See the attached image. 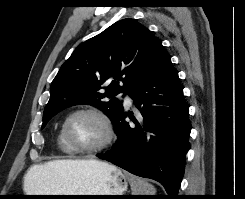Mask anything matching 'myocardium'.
<instances>
[{
  "label": "myocardium",
  "instance_id": "f54148a6",
  "mask_svg": "<svg viewBox=\"0 0 245 199\" xmlns=\"http://www.w3.org/2000/svg\"><path fill=\"white\" fill-rule=\"evenodd\" d=\"M80 114H90L95 116L103 125L105 129V138L104 140L97 146L91 148H82L77 146L70 137L68 132V126L73 117ZM62 133L66 143L72 149V151L76 154L82 155H94L99 154L102 151L106 150L113 142L115 133L112 122L110 118L100 109L95 107H82L71 111L65 118L62 124Z\"/></svg>",
  "mask_w": 245,
  "mask_h": 199
}]
</instances>
